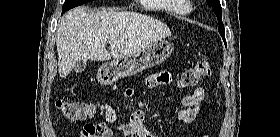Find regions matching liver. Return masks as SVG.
I'll return each instance as SVG.
<instances>
[{
    "mask_svg": "<svg viewBox=\"0 0 280 137\" xmlns=\"http://www.w3.org/2000/svg\"><path fill=\"white\" fill-rule=\"evenodd\" d=\"M169 36L166 24L147 15L74 8L62 17L56 33L59 75L66 77L80 60L106 61L133 55Z\"/></svg>",
    "mask_w": 280,
    "mask_h": 137,
    "instance_id": "obj_1",
    "label": "liver"
}]
</instances>
